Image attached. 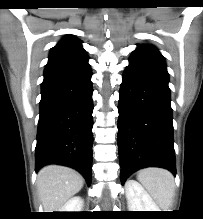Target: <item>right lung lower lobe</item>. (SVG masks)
<instances>
[{"mask_svg": "<svg viewBox=\"0 0 203 219\" xmlns=\"http://www.w3.org/2000/svg\"><path fill=\"white\" fill-rule=\"evenodd\" d=\"M88 58L47 65L41 84L36 171L69 166L91 183L93 100Z\"/></svg>", "mask_w": 203, "mask_h": 219, "instance_id": "right-lung-lower-lobe-1", "label": "right lung lower lobe"}]
</instances>
